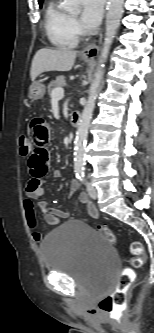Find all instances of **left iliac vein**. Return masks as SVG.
<instances>
[{"label": "left iliac vein", "instance_id": "left-iliac-vein-1", "mask_svg": "<svg viewBox=\"0 0 154 333\" xmlns=\"http://www.w3.org/2000/svg\"><path fill=\"white\" fill-rule=\"evenodd\" d=\"M87 192L92 199H97L98 192L90 183H87Z\"/></svg>", "mask_w": 154, "mask_h": 333}]
</instances>
